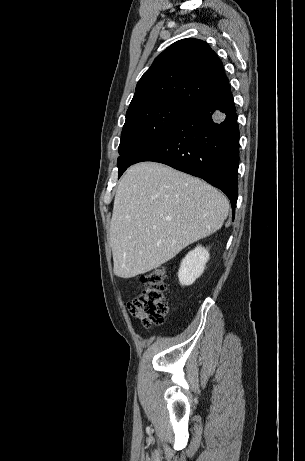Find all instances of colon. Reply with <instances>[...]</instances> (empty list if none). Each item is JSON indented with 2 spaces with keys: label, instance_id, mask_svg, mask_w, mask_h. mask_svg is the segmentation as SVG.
Returning a JSON list of instances; mask_svg holds the SVG:
<instances>
[{
  "label": "colon",
  "instance_id": "colon-1",
  "mask_svg": "<svg viewBox=\"0 0 305 461\" xmlns=\"http://www.w3.org/2000/svg\"><path fill=\"white\" fill-rule=\"evenodd\" d=\"M166 275L167 270L163 267L146 273L141 292L128 304L131 315L146 327L162 324L168 313Z\"/></svg>",
  "mask_w": 305,
  "mask_h": 461
}]
</instances>
